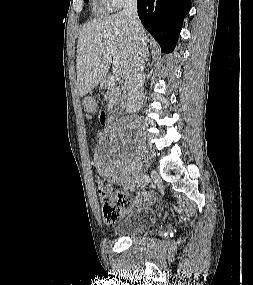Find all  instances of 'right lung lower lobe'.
<instances>
[{
  "label": "right lung lower lobe",
  "mask_w": 253,
  "mask_h": 285,
  "mask_svg": "<svg viewBox=\"0 0 253 285\" xmlns=\"http://www.w3.org/2000/svg\"><path fill=\"white\" fill-rule=\"evenodd\" d=\"M138 16L158 41L162 51L172 52L190 9V0H138Z\"/></svg>",
  "instance_id": "right-lung-lower-lobe-1"
}]
</instances>
